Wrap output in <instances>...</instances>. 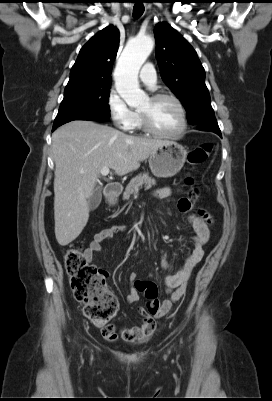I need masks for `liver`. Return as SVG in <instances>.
I'll list each match as a JSON object with an SVG mask.
<instances>
[{
	"mask_svg": "<svg viewBox=\"0 0 272 401\" xmlns=\"http://www.w3.org/2000/svg\"><path fill=\"white\" fill-rule=\"evenodd\" d=\"M169 141L126 135L93 121L75 120L52 135L55 161V236L61 246L75 240L89 218L88 200L103 167L125 175Z\"/></svg>",
	"mask_w": 272,
	"mask_h": 401,
	"instance_id": "1",
	"label": "liver"
}]
</instances>
